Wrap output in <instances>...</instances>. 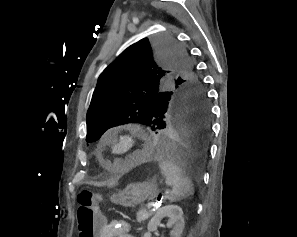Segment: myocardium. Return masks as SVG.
<instances>
[{
	"label": "myocardium",
	"mask_w": 297,
	"mask_h": 237,
	"mask_svg": "<svg viewBox=\"0 0 297 237\" xmlns=\"http://www.w3.org/2000/svg\"><path fill=\"white\" fill-rule=\"evenodd\" d=\"M116 144H124V150L120 153L114 151ZM139 149V140L133 131H125L108 139V150L113 156L120 159L132 157Z\"/></svg>",
	"instance_id": "myocardium-1"
}]
</instances>
